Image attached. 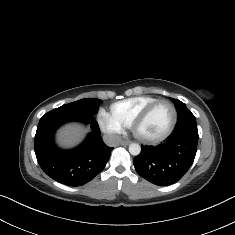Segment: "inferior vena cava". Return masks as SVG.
I'll use <instances>...</instances> for the list:
<instances>
[{"instance_id": "1", "label": "inferior vena cava", "mask_w": 235, "mask_h": 235, "mask_svg": "<svg viewBox=\"0 0 235 235\" xmlns=\"http://www.w3.org/2000/svg\"><path fill=\"white\" fill-rule=\"evenodd\" d=\"M103 140L106 145H108L110 147H116L119 145V143L121 141V136H119L117 134H106L103 136Z\"/></svg>"}]
</instances>
